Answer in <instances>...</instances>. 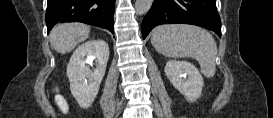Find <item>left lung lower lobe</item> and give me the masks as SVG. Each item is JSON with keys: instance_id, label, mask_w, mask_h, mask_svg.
<instances>
[{"instance_id": "obj_1", "label": "left lung lower lobe", "mask_w": 273, "mask_h": 118, "mask_svg": "<svg viewBox=\"0 0 273 118\" xmlns=\"http://www.w3.org/2000/svg\"><path fill=\"white\" fill-rule=\"evenodd\" d=\"M191 24L214 31L221 36V21L216 0H154L142 22V36L162 24Z\"/></svg>"}]
</instances>
